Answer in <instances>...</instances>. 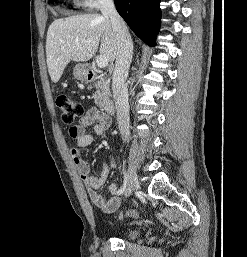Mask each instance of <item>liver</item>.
I'll return each instance as SVG.
<instances>
[{"instance_id": "obj_1", "label": "liver", "mask_w": 247, "mask_h": 257, "mask_svg": "<svg viewBox=\"0 0 247 257\" xmlns=\"http://www.w3.org/2000/svg\"><path fill=\"white\" fill-rule=\"evenodd\" d=\"M113 62L117 41L108 16L80 14L54 20L48 28L46 56L49 75L57 83L70 61L85 62L96 53Z\"/></svg>"}]
</instances>
